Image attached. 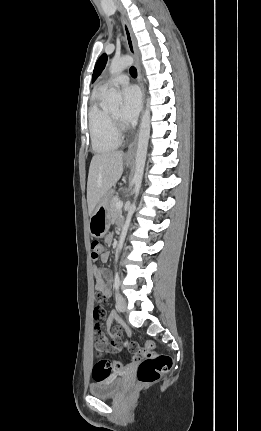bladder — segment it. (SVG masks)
Wrapping results in <instances>:
<instances>
[{
    "label": "bladder",
    "instance_id": "bladder-1",
    "mask_svg": "<svg viewBox=\"0 0 261 431\" xmlns=\"http://www.w3.org/2000/svg\"><path fill=\"white\" fill-rule=\"evenodd\" d=\"M125 379L123 377L102 378L91 383L89 392L99 398H111L118 395L123 389Z\"/></svg>",
    "mask_w": 261,
    "mask_h": 431
}]
</instances>
